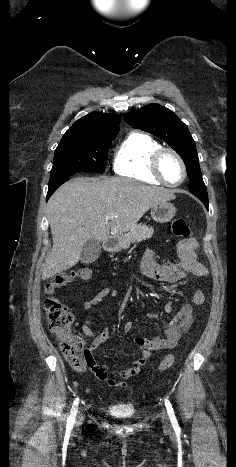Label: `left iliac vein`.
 <instances>
[{"label": "left iliac vein", "mask_w": 236, "mask_h": 467, "mask_svg": "<svg viewBox=\"0 0 236 467\" xmlns=\"http://www.w3.org/2000/svg\"><path fill=\"white\" fill-rule=\"evenodd\" d=\"M162 421H163L165 426H167V427L170 426L169 417H168V414H167V412L165 410L162 411Z\"/></svg>", "instance_id": "1"}]
</instances>
